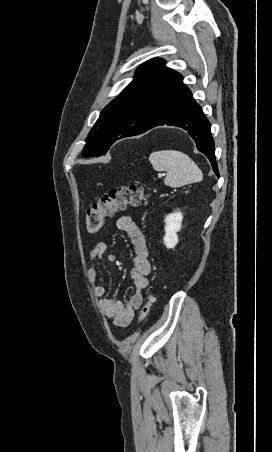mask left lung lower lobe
Returning a JSON list of instances; mask_svg holds the SVG:
<instances>
[{
  "mask_svg": "<svg viewBox=\"0 0 272 452\" xmlns=\"http://www.w3.org/2000/svg\"><path fill=\"white\" fill-rule=\"evenodd\" d=\"M160 125L176 126L186 130L195 141L197 149L207 156L213 171L219 177L210 122L185 84L169 99L155 122L142 133Z\"/></svg>",
  "mask_w": 272,
  "mask_h": 452,
  "instance_id": "left-lung-lower-lobe-1",
  "label": "left lung lower lobe"
}]
</instances>
